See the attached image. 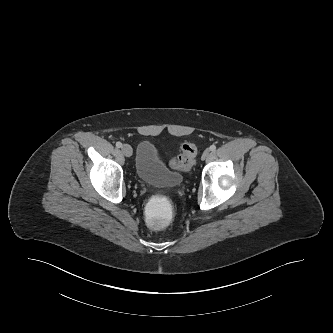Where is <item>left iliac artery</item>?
Masks as SVG:
<instances>
[{"instance_id":"1","label":"left iliac artery","mask_w":333,"mask_h":333,"mask_svg":"<svg viewBox=\"0 0 333 333\" xmlns=\"http://www.w3.org/2000/svg\"><path fill=\"white\" fill-rule=\"evenodd\" d=\"M209 149H210V151H215L216 150V145H214V144L211 145Z\"/></svg>"}]
</instances>
